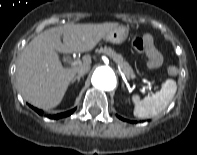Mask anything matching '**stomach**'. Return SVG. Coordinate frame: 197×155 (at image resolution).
Returning a JSON list of instances; mask_svg holds the SVG:
<instances>
[{
    "instance_id": "0dacf381",
    "label": "stomach",
    "mask_w": 197,
    "mask_h": 155,
    "mask_svg": "<svg viewBox=\"0 0 197 155\" xmlns=\"http://www.w3.org/2000/svg\"><path fill=\"white\" fill-rule=\"evenodd\" d=\"M128 35L129 28L127 26H117L104 36V40L114 44H120L127 39Z\"/></svg>"
}]
</instances>
